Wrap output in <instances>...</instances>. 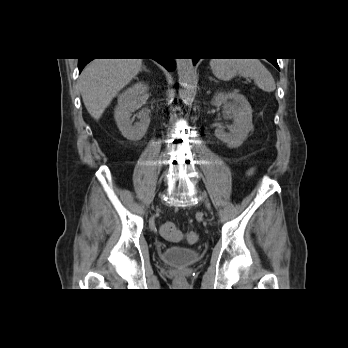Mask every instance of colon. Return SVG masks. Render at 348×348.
Wrapping results in <instances>:
<instances>
[{"instance_id": "colon-1", "label": "colon", "mask_w": 348, "mask_h": 348, "mask_svg": "<svg viewBox=\"0 0 348 348\" xmlns=\"http://www.w3.org/2000/svg\"><path fill=\"white\" fill-rule=\"evenodd\" d=\"M161 236L169 241H179L184 238L182 232L172 222H164L160 225ZM189 244H195L198 241V234L195 231H189L185 235Z\"/></svg>"}]
</instances>
